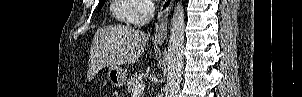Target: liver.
<instances>
[{"label": "liver", "instance_id": "6515ba94", "mask_svg": "<svg viewBox=\"0 0 302 97\" xmlns=\"http://www.w3.org/2000/svg\"><path fill=\"white\" fill-rule=\"evenodd\" d=\"M150 35L130 26H114L99 29L90 51L89 76L106 65L136 63L149 41Z\"/></svg>", "mask_w": 302, "mask_h": 97}]
</instances>
